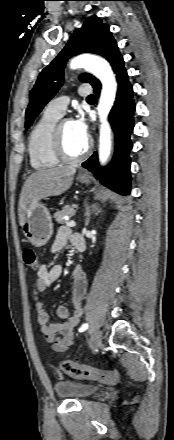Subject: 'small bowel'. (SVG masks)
I'll return each mask as SVG.
<instances>
[{"mask_svg": "<svg viewBox=\"0 0 174 440\" xmlns=\"http://www.w3.org/2000/svg\"><path fill=\"white\" fill-rule=\"evenodd\" d=\"M77 235L72 234L67 227H60L55 240L51 246V252L56 254L61 252L68 244L75 246ZM62 274V267L58 264L48 266L41 264L37 278L32 288V303L37 312V324L45 340L51 344L52 349L62 352L74 343V330L78 325L83 313L82 302L87 290V279L84 270L76 266L72 271L71 304L72 311L60 305L56 310L57 323H49V315L46 312L40 294L43 293L51 284L57 281ZM60 377L61 373L56 370Z\"/></svg>", "mask_w": 174, "mask_h": 440, "instance_id": "1", "label": "small bowel"}]
</instances>
